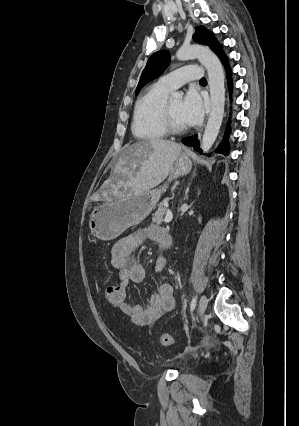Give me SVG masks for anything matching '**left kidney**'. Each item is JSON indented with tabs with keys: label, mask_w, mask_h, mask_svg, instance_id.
Masks as SVG:
<instances>
[{
	"label": "left kidney",
	"mask_w": 299,
	"mask_h": 426,
	"mask_svg": "<svg viewBox=\"0 0 299 426\" xmlns=\"http://www.w3.org/2000/svg\"><path fill=\"white\" fill-rule=\"evenodd\" d=\"M199 222H201V218H199Z\"/></svg>",
	"instance_id": "left-kidney-1"
}]
</instances>
